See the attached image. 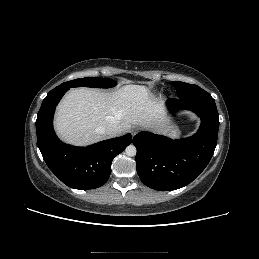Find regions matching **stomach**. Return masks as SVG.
I'll list each match as a JSON object with an SVG mask.
<instances>
[{
	"mask_svg": "<svg viewBox=\"0 0 259 259\" xmlns=\"http://www.w3.org/2000/svg\"><path fill=\"white\" fill-rule=\"evenodd\" d=\"M167 135L170 136V137H173V138L179 137L180 136V131H179V129L176 126H171L168 129Z\"/></svg>",
	"mask_w": 259,
	"mask_h": 259,
	"instance_id": "1",
	"label": "stomach"
}]
</instances>
